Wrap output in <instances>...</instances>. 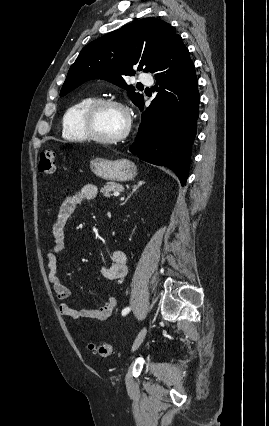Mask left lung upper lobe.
I'll use <instances>...</instances> for the list:
<instances>
[{"instance_id": "1", "label": "left lung upper lobe", "mask_w": 269, "mask_h": 426, "mask_svg": "<svg viewBox=\"0 0 269 426\" xmlns=\"http://www.w3.org/2000/svg\"><path fill=\"white\" fill-rule=\"evenodd\" d=\"M179 35L157 18H145L110 32L86 45L69 69L60 96L91 79H104L128 91L139 106L143 96L127 85L125 77L151 71Z\"/></svg>"}]
</instances>
